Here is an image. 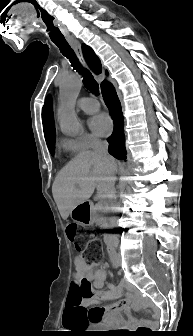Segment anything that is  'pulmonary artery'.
<instances>
[{"label": "pulmonary artery", "mask_w": 193, "mask_h": 336, "mask_svg": "<svg viewBox=\"0 0 193 336\" xmlns=\"http://www.w3.org/2000/svg\"><path fill=\"white\" fill-rule=\"evenodd\" d=\"M78 107L85 113H95L99 110V103L93 98H81L78 101Z\"/></svg>", "instance_id": "e3ab8cb5"}]
</instances>
